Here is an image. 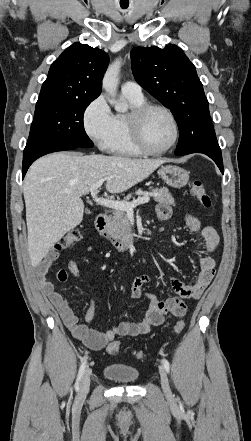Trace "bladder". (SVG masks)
I'll list each match as a JSON object with an SVG mask.
<instances>
[{"label": "bladder", "instance_id": "31cf9c89", "mask_svg": "<svg viewBox=\"0 0 251 441\" xmlns=\"http://www.w3.org/2000/svg\"><path fill=\"white\" fill-rule=\"evenodd\" d=\"M103 375L106 379L120 384H134L140 378V373L136 368L121 364L105 366Z\"/></svg>", "mask_w": 251, "mask_h": 441}]
</instances>
